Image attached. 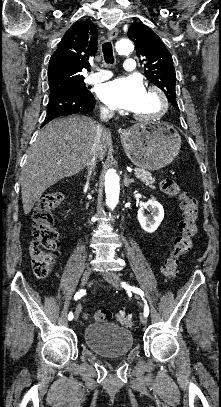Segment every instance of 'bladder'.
<instances>
[{
    "label": "bladder",
    "mask_w": 221,
    "mask_h": 407,
    "mask_svg": "<svg viewBox=\"0 0 221 407\" xmlns=\"http://www.w3.org/2000/svg\"><path fill=\"white\" fill-rule=\"evenodd\" d=\"M83 338L92 351L106 358L127 354L134 342L130 328L107 322L92 323L86 326Z\"/></svg>",
    "instance_id": "31cf9c89"
}]
</instances>
